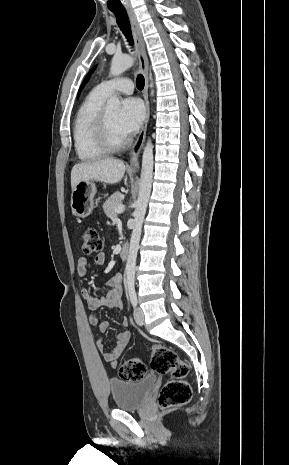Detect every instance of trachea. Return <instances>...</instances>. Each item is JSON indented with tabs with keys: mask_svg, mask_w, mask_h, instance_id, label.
Here are the masks:
<instances>
[{
	"mask_svg": "<svg viewBox=\"0 0 289 465\" xmlns=\"http://www.w3.org/2000/svg\"><path fill=\"white\" fill-rule=\"evenodd\" d=\"M111 11L114 13L116 20H117V24L120 30L125 35L127 41L129 42L130 45H133L131 26H130V22H129L125 9L111 10ZM144 83H145L144 77L142 75H138L136 79V86L139 90H142L144 88Z\"/></svg>",
	"mask_w": 289,
	"mask_h": 465,
	"instance_id": "3493384b",
	"label": "trachea"
}]
</instances>
